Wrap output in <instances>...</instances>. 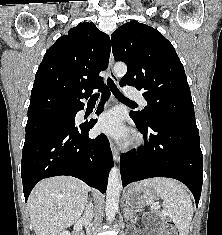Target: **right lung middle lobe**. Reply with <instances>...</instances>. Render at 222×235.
Listing matches in <instances>:
<instances>
[{
	"instance_id": "dd1d6c3e",
	"label": "right lung middle lobe",
	"mask_w": 222,
	"mask_h": 235,
	"mask_svg": "<svg viewBox=\"0 0 222 235\" xmlns=\"http://www.w3.org/2000/svg\"><path fill=\"white\" fill-rule=\"evenodd\" d=\"M66 126L67 122L55 115L39 119L28 120L26 125V137L49 128L66 127Z\"/></svg>"
}]
</instances>
